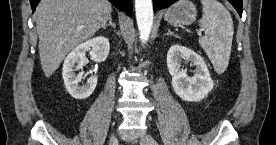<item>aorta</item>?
I'll use <instances>...</instances> for the list:
<instances>
[{
    "instance_id": "aorta-1",
    "label": "aorta",
    "mask_w": 276,
    "mask_h": 145,
    "mask_svg": "<svg viewBox=\"0 0 276 145\" xmlns=\"http://www.w3.org/2000/svg\"><path fill=\"white\" fill-rule=\"evenodd\" d=\"M136 20L139 29V38L145 44L150 36L153 25L152 0H135Z\"/></svg>"
}]
</instances>
